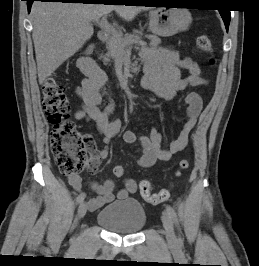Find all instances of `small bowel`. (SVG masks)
Returning a JSON list of instances; mask_svg holds the SVG:
<instances>
[{
	"label": "small bowel",
	"instance_id": "1",
	"mask_svg": "<svg viewBox=\"0 0 259 266\" xmlns=\"http://www.w3.org/2000/svg\"><path fill=\"white\" fill-rule=\"evenodd\" d=\"M141 57L144 62L142 87L164 101L172 100L178 92L188 87L208 84V80L202 76L199 65L191 58H179L175 51L166 48L146 50L142 52ZM181 68L189 71L187 77H181ZM104 86L105 76L96 67V74L92 77L87 76L78 89L82 104L76 110L75 118L92 122L96 130L103 136L105 145L102 149L90 147L89 169L91 172H95L101 161L108 156L109 144L121 130L119 120H109L113 103L106 97ZM105 100L106 103H104ZM184 105L186 107V121L178 138L170 144L168 149L162 147L163 136L156 127H152L148 135L139 137L130 130L123 134V139L127 143L139 142L140 146L136 152L139 154L137 163L140 167L149 168L157 160L168 161L174 154L183 151L188 146L190 133L203 109L202 97L197 92H190L184 97ZM68 181L76 191L81 190L82 179L78 174L69 175ZM91 187L96 193L95 197H90L87 200V207L91 211L112 202L115 197L121 200L126 199L129 194H133L137 190V184L133 179H126L124 187L118 190L116 194L112 180H106L103 184L94 182Z\"/></svg>",
	"mask_w": 259,
	"mask_h": 266
}]
</instances>
